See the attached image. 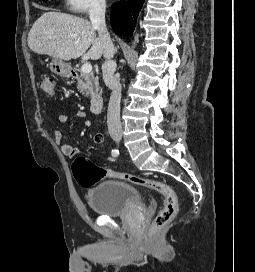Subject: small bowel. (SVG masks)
I'll return each instance as SVG.
<instances>
[{"mask_svg":"<svg viewBox=\"0 0 255 272\" xmlns=\"http://www.w3.org/2000/svg\"><path fill=\"white\" fill-rule=\"evenodd\" d=\"M75 117L77 119L84 120V119H86L87 114L84 110H77L75 112ZM56 120L60 124H65L69 121V116L66 114H59L57 116ZM53 135H54V140H55L56 144L59 146L63 155H65L69 158H73L76 156L77 148H75L74 146H72L70 144L65 143L64 136L59 130L54 129ZM93 141L95 144L103 145L105 143V137L103 134L97 133L94 135Z\"/></svg>","mask_w":255,"mask_h":272,"instance_id":"1","label":"small bowel"}]
</instances>
